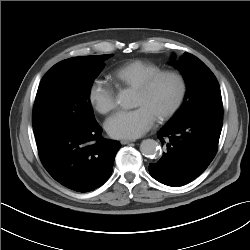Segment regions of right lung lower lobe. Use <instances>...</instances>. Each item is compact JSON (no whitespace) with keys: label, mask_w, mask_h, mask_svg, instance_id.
I'll use <instances>...</instances> for the list:
<instances>
[{"label":"right lung lower lobe","mask_w":250,"mask_h":250,"mask_svg":"<svg viewBox=\"0 0 250 250\" xmlns=\"http://www.w3.org/2000/svg\"><path fill=\"white\" fill-rule=\"evenodd\" d=\"M101 133L97 123L89 129L36 136L43 166L57 182L73 191L99 188L109 179L121 147L118 141L105 139Z\"/></svg>","instance_id":"1"}]
</instances>
